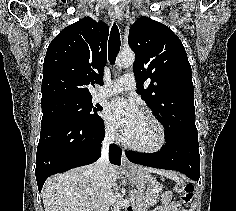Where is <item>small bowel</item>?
Returning <instances> with one entry per match:
<instances>
[{
  "mask_svg": "<svg viewBox=\"0 0 236 211\" xmlns=\"http://www.w3.org/2000/svg\"><path fill=\"white\" fill-rule=\"evenodd\" d=\"M129 211H133V210H129ZM150 211H187V209L185 208L177 209L175 203L169 200H162L160 206Z\"/></svg>",
  "mask_w": 236,
  "mask_h": 211,
  "instance_id": "c3829d8e",
  "label": "small bowel"
}]
</instances>
